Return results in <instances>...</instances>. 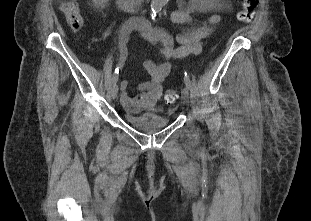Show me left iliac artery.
<instances>
[{
  "mask_svg": "<svg viewBox=\"0 0 311 221\" xmlns=\"http://www.w3.org/2000/svg\"><path fill=\"white\" fill-rule=\"evenodd\" d=\"M184 81H185V85L188 89L191 88V81H190V78L187 74V72H184Z\"/></svg>",
  "mask_w": 311,
  "mask_h": 221,
  "instance_id": "obj_1",
  "label": "left iliac artery"
}]
</instances>
